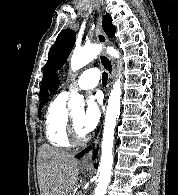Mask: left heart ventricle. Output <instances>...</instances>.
<instances>
[{"label": "left heart ventricle", "instance_id": "obj_1", "mask_svg": "<svg viewBox=\"0 0 178 195\" xmlns=\"http://www.w3.org/2000/svg\"><path fill=\"white\" fill-rule=\"evenodd\" d=\"M72 118H73L78 135L85 136L86 134L83 132V130L81 128V120L83 118V112H77V113L73 114Z\"/></svg>", "mask_w": 178, "mask_h": 195}]
</instances>
